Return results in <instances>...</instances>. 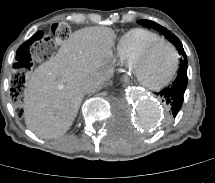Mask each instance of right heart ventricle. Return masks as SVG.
<instances>
[{
	"instance_id": "1",
	"label": "right heart ventricle",
	"mask_w": 215,
	"mask_h": 183,
	"mask_svg": "<svg viewBox=\"0 0 215 183\" xmlns=\"http://www.w3.org/2000/svg\"><path fill=\"white\" fill-rule=\"evenodd\" d=\"M161 39L157 33L135 28L121 36L117 44V56L126 66L130 67L135 57L150 43Z\"/></svg>"
}]
</instances>
